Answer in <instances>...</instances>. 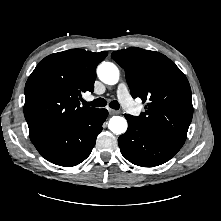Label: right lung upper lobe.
<instances>
[{"label": "right lung upper lobe", "mask_w": 221, "mask_h": 221, "mask_svg": "<svg viewBox=\"0 0 221 221\" xmlns=\"http://www.w3.org/2000/svg\"><path fill=\"white\" fill-rule=\"evenodd\" d=\"M107 54L71 49L49 55L36 66L26 82L24 104L32 143L59 135L98 110L81 106L79 99L94 90L96 67Z\"/></svg>", "instance_id": "1"}]
</instances>
